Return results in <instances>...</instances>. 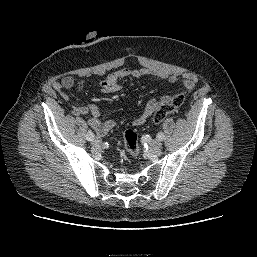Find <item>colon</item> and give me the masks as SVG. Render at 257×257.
Here are the masks:
<instances>
[{"label":"colon","mask_w":257,"mask_h":257,"mask_svg":"<svg viewBox=\"0 0 257 257\" xmlns=\"http://www.w3.org/2000/svg\"><path fill=\"white\" fill-rule=\"evenodd\" d=\"M185 100L183 94H176L170 98L167 103L162 104L156 111L153 117L155 123H161L171 112L179 109ZM123 145L125 149L132 155L137 156L138 137L137 134L132 130H127L123 135Z\"/></svg>","instance_id":"5ec220e1"}]
</instances>
